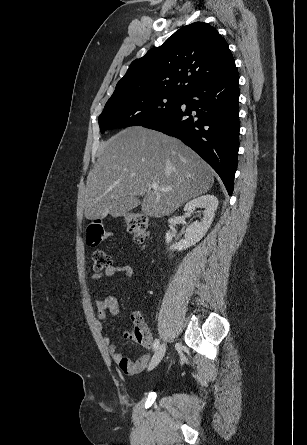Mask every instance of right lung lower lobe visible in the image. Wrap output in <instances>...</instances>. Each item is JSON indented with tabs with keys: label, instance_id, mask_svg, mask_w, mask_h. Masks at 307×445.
Returning <instances> with one entry per match:
<instances>
[{
	"label": "right lung lower lobe",
	"instance_id": "right-lung-lower-lobe-1",
	"mask_svg": "<svg viewBox=\"0 0 307 445\" xmlns=\"http://www.w3.org/2000/svg\"><path fill=\"white\" fill-rule=\"evenodd\" d=\"M238 82L234 64L187 92L181 104L163 117L142 125L191 147L219 174L229 195L233 192L239 148Z\"/></svg>",
	"mask_w": 307,
	"mask_h": 445
}]
</instances>
